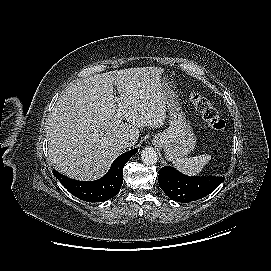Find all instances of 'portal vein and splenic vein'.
Instances as JSON below:
<instances>
[{
    "label": "portal vein and splenic vein",
    "mask_w": 271,
    "mask_h": 271,
    "mask_svg": "<svg viewBox=\"0 0 271 271\" xmlns=\"http://www.w3.org/2000/svg\"><path fill=\"white\" fill-rule=\"evenodd\" d=\"M116 116L117 118H121L123 116V112L121 109H118Z\"/></svg>",
    "instance_id": "obj_1"
}]
</instances>
